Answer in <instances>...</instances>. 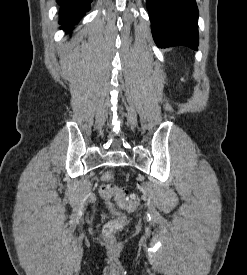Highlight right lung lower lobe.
<instances>
[{"mask_svg": "<svg viewBox=\"0 0 247 275\" xmlns=\"http://www.w3.org/2000/svg\"><path fill=\"white\" fill-rule=\"evenodd\" d=\"M91 2L92 0H57L60 5L59 23L63 25L61 28L70 31L69 26L76 24L90 10Z\"/></svg>", "mask_w": 247, "mask_h": 275, "instance_id": "obj_1", "label": "right lung lower lobe"}]
</instances>
